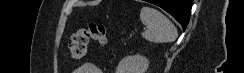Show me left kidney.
<instances>
[{
	"mask_svg": "<svg viewBox=\"0 0 244 73\" xmlns=\"http://www.w3.org/2000/svg\"><path fill=\"white\" fill-rule=\"evenodd\" d=\"M148 67L149 61L145 56H126L119 62L116 73H145Z\"/></svg>",
	"mask_w": 244,
	"mask_h": 73,
	"instance_id": "left-kidney-1",
	"label": "left kidney"
}]
</instances>
